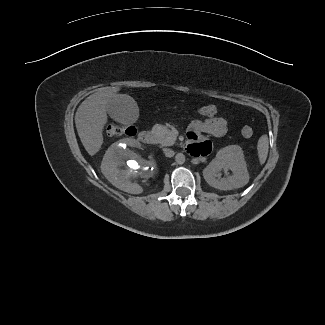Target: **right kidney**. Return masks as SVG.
<instances>
[{
  "instance_id": "ca27d5eb",
  "label": "right kidney",
  "mask_w": 325,
  "mask_h": 325,
  "mask_svg": "<svg viewBox=\"0 0 325 325\" xmlns=\"http://www.w3.org/2000/svg\"><path fill=\"white\" fill-rule=\"evenodd\" d=\"M101 171L118 189L140 194L155 178L156 166L151 158H146L138 141L126 138L108 148L101 163Z\"/></svg>"
}]
</instances>
